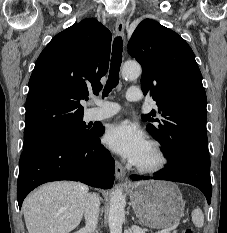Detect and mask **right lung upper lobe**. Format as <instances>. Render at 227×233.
I'll list each match as a JSON object with an SVG mask.
<instances>
[{
	"label": "right lung upper lobe",
	"mask_w": 227,
	"mask_h": 233,
	"mask_svg": "<svg viewBox=\"0 0 227 233\" xmlns=\"http://www.w3.org/2000/svg\"><path fill=\"white\" fill-rule=\"evenodd\" d=\"M111 33L90 18L57 34L39 55L29 80L24 135L83 117L81 100L102 89Z\"/></svg>",
	"instance_id": "cb5924a9"
}]
</instances>
